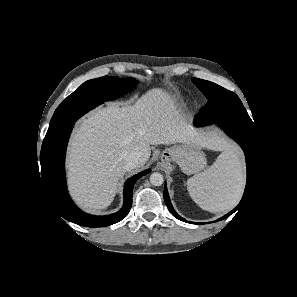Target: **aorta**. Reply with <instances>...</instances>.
Returning <instances> with one entry per match:
<instances>
[{"label": "aorta", "mask_w": 297, "mask_h": 297, "mask_svg": "<svg viewBox=\"0 0 297 297\" xmlns=\"http://www.w3.org/2000/svg\"><path fill=\"white\" fill-rule=\"evenodd\" d=\"M164 182L163 175L159 172H154L150 175V183L154 186H161Z\"/></svg>", "instance_id": "obj_1"}]
</instances>
